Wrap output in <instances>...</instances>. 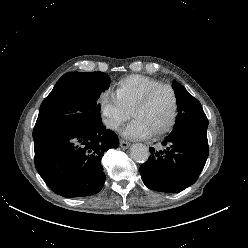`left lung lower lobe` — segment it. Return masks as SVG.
I'll list each match as a JSON object with an SVG mask.
<instances>
[{
    "label": "left lung lower lobe",
    "instance_id": "1",
    "mask_svg": "<svg viewBox=\"0 0 248 248\" xmlns=\"http://www.w3.org/2000/svg\"><path fill=\"white\" fill-rule=\"evenodd\" d=\"M164 150L150 148L151 155L141 165L144 184L151 190L177 193L194 184L206 163L209 149L207 130L182 128L163 141Z\"/></svg>",
    "mask_w": 248,
    "mask_h": 248
}]
</instances>
